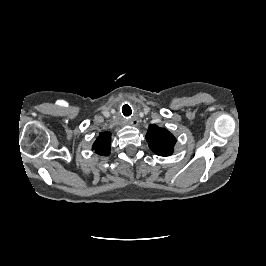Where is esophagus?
I'll list each match as a JSON object with an SVG mask.
<instances>
[{"mask_svg": "<svg viewBox=\"0 0 266 266\" xmlns=\"http://www.w3.org/2000/svg\"><path fill=\"white\" fill-rule=\"evenodd\" d=\"M129 123H130L131 125H133V126H138L139 121H138L137 118H132V119L129 121Z\"/></svg>", "mask_w": 266, "mask_h": 266, "instance_id": "34e87169", "label": "esophagus"}]
</instances>
